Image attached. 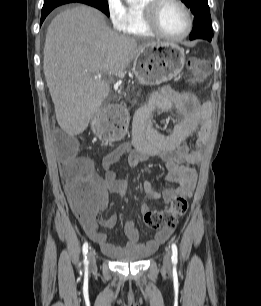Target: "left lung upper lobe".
<instances>
[{
	"instance_id": "5c2ea615",
	"label": "left lung upper lobe",
	"mask_w": 261,
	"mask_h": 306,
	"mask_svg": "<svg viewBox=\"0 0 261 306\" xmlns=\"http://www.w3.org/2000/svg\"><path fill=\"white\" fill-rule=\"evenodd\" d=\"M191 9L194 15L193 29L190 39H206L211 41L213 36L210 9L207 0H181Z\"/></svg>"
}]
</instances>
